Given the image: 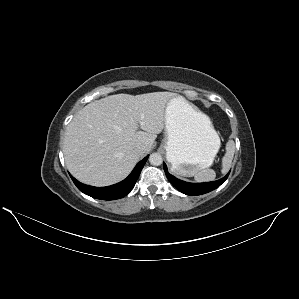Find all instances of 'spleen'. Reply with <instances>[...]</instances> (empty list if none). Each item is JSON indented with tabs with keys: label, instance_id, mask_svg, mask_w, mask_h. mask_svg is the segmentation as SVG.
Returning <instances> with one entry per match:
<instances>
[{
	"label": "spleen",
	"instance_id": "spleen-1",
	"mask_svg": "<svg viewBox=\"0 0 299 299\" xmlns=\"http://www.w3.org/2000/svg\"><path fill=\"white\" fill-rule=\"evenodd\" d=\"M235 153V143L233 140H229L226 143V153L222 158V173H227L231 167L232 160ZM216 177V173L213 169H203L195 173L194 178L197 182H209L213 181Z\"/></svg>",
	"mask_w": 299,
	"mask_h": 299
}]
</instances>
